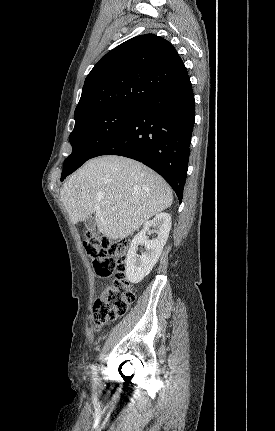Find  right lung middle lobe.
I'll use <instances>...</instances> for the list:
<instances>
[{
  "mask_svg": "<svg viewBox=\"0 0 275 431\" xmlns=\"http://www.w3.org/2000/svg\"><path fill=\"white\" fill-rule=\"evenodd\" d=\"M139 107H112L75 120L70 134L73 151L67 157L61 180L74 172L103 145L116 136L134 117Z\"/></svg>",
  "mask_w": 275,
  "mask_h": 431,
  "instance_id": "1",
  "label": "right lung middle lobe"
}]
</instances>
